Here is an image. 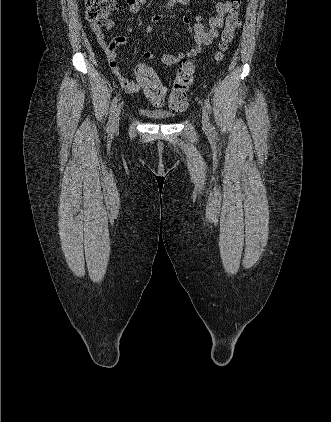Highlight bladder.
Segmentation results:
<instances>
[{
  "label": "bladder",
  "mask_w": 331,
  "mask_h": 422,
  "mask_svg": "<svg viewBox=\"0 0 331 422\" xmlns=\"http://www.w3.org/2000/svg\"><path fill=\"white\" fill-rule=\"evenodd\" d=\"M142 114L145 116L154 119V120H170L174 118V115L171 113H167L164 111H150V110H142Z\"/></svg>",
  "instance_id": "bladder-1"
}]
</instances>
